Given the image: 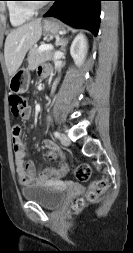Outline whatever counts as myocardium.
<instances>
[{"label":"myocardium","instance_id":"1","mask_svg":"<svg viewBox=\"0 0 133 253\" xmlns=\"http://www.w3.org/2000/svg\"><path fill=\"white\" fill-rule=\"evenodd\" d=\"M29 1V0H26ZM22 6L24 9L30 11V12H37L38 10H40L44 4L43 3H31V2H24L22 3Z\"/></svg>","mask_w":133,"mask_h":253}]
</instances>
